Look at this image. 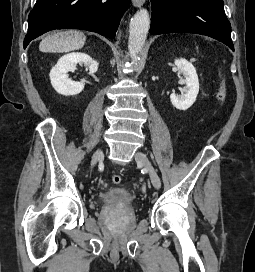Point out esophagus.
Wrapping results in <instances>:
<instances>
[{
    "mask_svg": "<svg viewBox=\"0 0 255 272\" xmlns=\"http://www.w3.org/2000/svg\"><path fill=\"white\" fill-rule=\"evenodd\" d=\"M145 0H132V3L135 7H141L144 4Z\"/></svg>",
    "mask_w": 255,
    "mask_h": 272,
    "instance_id": "obj_1",
    "label": "esophagus"
}]
</instances>
